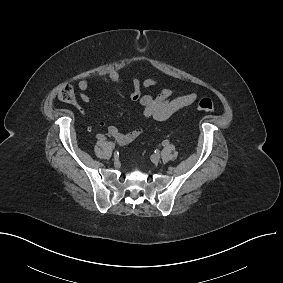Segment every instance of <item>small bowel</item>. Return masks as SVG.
I'll use <instances>...</instances> for the list:
<instances>
[{
	"mask_svg": "<svg viewBox=\"0 0 283 283\" xmlns=\"http://www.w3.org/2000/svg\"><path fill=\"white\" fill-rule=\"evenodd\" d=\"M101 81L112 86L117 95L125 98L126 94L123 91V83L117 70H111L107 76L101 77ZM158 83L155 77H149L145 80H140L139 77L132 78V89L128 97L133 101H138L143 107V116L152 121H165L174 113L190 107L196 100V95L193 93L174 96L171 89H163L159 93L142 94V89H150ZM89 87V82L82 79L78 82V88L81 91L80 99L87 104L90 101L86 90ZM103 124H99L101 126ZM145 129L137 128L129 132H122L116 126L108 127V135L114 138L119 144L127 145L139 138Z\"/></svg>",
	"mask_w": 283,
	"mask_h": 283,
	"instance_id": "obj_1",
	"label": "small bowel"
}]
</instances>
